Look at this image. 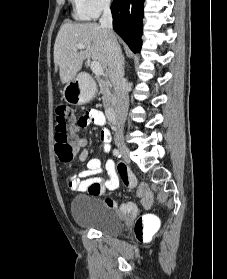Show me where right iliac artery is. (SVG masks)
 I'll return each instance as SVG.
<instances>
[{"mask_svg": "<svg viewBox=\"0 0 227 279\" xmlns=\"http://www.w3.org/2000/svg\"><path fill=\"white\" fill-rule=\"evenodd\" d=\"M113 154H114L115 156H117L118 158L121 157V153L119 152L118 149H114V150H113Z\"/></svg>", "mask_w": 227, "mask_h": 279, "instance_id": "1", "label": "right iliac artery"}]
</instances>
